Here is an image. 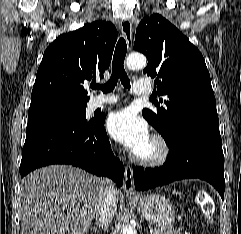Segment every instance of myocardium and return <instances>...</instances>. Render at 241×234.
Instances as JSON below:
<instances>
[{
    "label": "myocardium",
    "mask_w": 241,
    "mask_h": 234,
    "mask_svg": "<svg viewBox=\"0 0 241 234\" xmlns=\"http://www.w3.org/2000/svg\"><path fill=\"white\" fill-rule=\"evenodd\" d=\"M150 140L155 146V152L149 157H142L137 154L134 155V161L139 165L146 167H156L164 164L169 155L170 148L166 139L160 134H154Z\"/></svg>",
    "instance_id": "myocardium-1"
}]
</instances>
